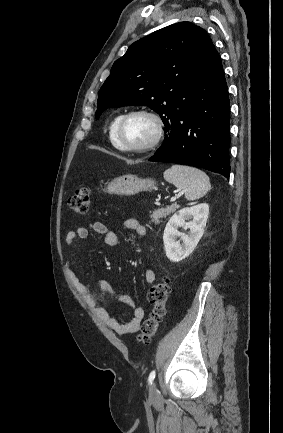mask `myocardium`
I'll return each mask as SVG.
<instances>
[{
  "mask_svg": "<svg viewBox=\"0 0 283 433\" xmlns=\"http://www.w3.org/2000/svg\"><path fill=\"white\" fill-rule=\"evenodd\" d=\"M140 114L146 115L151 119H153V121L156 123V128H157L156 134L150 142L144 145H140V146L126 145L122 140L123 126L130 117L134 115H140ZM165 132H166V122L163 116L159 112L150 108H135L127 111L122 115L115 129V140L119 149L122 151L139 153V154H148L155 151L160 146V144L164 139Z\"/></svg>",
  "mask_w": 283,
  "mask_h": 433,
  "instance_id": "f54148a6",
  "label": "myocardium"
}]
</instances>
